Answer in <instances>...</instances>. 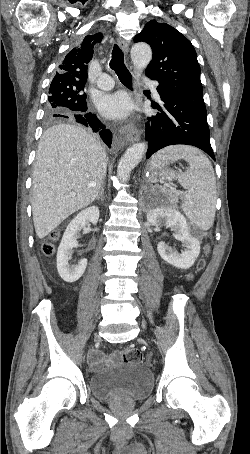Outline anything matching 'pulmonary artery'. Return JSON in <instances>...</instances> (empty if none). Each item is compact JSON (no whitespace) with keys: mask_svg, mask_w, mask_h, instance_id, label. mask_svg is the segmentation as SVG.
<instances>
[{"mask_svg":"<svg viewBox=\"0 0 250 454\" xmlns=\"http://www.w3.org/2000/svg\"><path fill=\"white\" fill-rule=\"evenodd\" d=\"M97 87L101 90H110L114 87V80L112 77H110L107 74H103L100 76V78L97 80ZM152 89L153 95L156 99H159V94L157 92L156 86L154 82H149L148 83Z\"/></svg>","mask_w":250,"mask_h":454,"instance_id":"pulmonary-artery-1","label":"pulmonary artery"}]
</instances>
